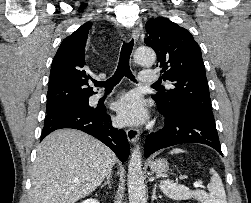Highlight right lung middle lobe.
<instances>
[{
  "mask_svg": "<svg viewBox=\"0 0 251 203\" xmlns=\"http://www.w3.org/2000/svg\"><path fill=\"white\" fill-rule=\"evenodd\" d=\"M88 99L86 100H83V101H80V102H77V103H74V104H71L69 106H66V107H86V108H93V107H90L89 104H88ZM65 108V107H64ZM58 110V109H57ZM55 111V110H53ZM53 111H50V110H46V113H50V112H53Z\"/></svg>",
  "mask_w": 251,
  "mask_h": 203,
  "instance_id": "1",
  "label": "right lung middle lobe"
}]
</instances>
